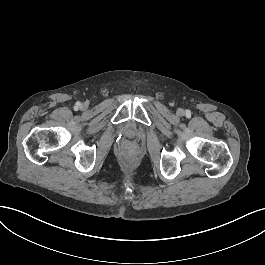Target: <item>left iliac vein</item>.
<instances>
[{"label":"left iliac vein","mask_w":265,"mask_h":265,"mask_svg":"<svg viewBox=\"0 0 265 265\" xmlns=\"http://www.w3.org/2000/svg\"><path fill=\"white\" fill-rule=\"evenodd\" d=\"M184 114V110L182 109V108H179L178 110H177V115L178 116H182Z\"/></svg>","instance_id":"obj_1"}]
</instances>
